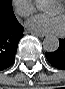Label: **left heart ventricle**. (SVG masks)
I'll list each match as a JSON object with an SVG mask.
<instances>
[{
	"instance_id": "obj_1",
	"label": "left heart ventricle",
	"mask_w": 65,
	"mask_h": 89,
	"mask_svg": "<svg viewBox=\"0 0 65 89\" xmlns=\"http://www.w3.org/2000/svg\"><path fill=\"white\" fill-rule=\"evenodd\" d=\"M54 14H61L62 13V8L61 6H58L57 9L53 12Z\"/></svg>"
}]
</instances>
